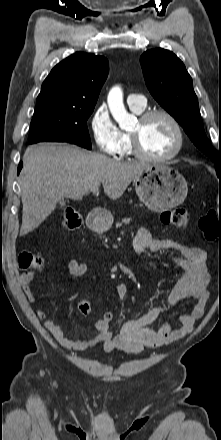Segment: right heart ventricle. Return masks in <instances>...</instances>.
<instances>
[{
  "label": "right heart ventricle",
  "instance_id": "right-heart-ventricle-1",
  "mask_svg": "<svg viewBox=\"0 0 221 440\" xmlns=\"http://www.w3.org/2000/svg\"><path fill=\"white\" fill-rule=\"evenodd\" d=\"M130 108L136 114L142 113V111L144 109V108L138 109V108H135V107H130ZM122 135H123L124 142H123V147H122L119 155H121V156L130 155L132 153V146H131L130 135H129V133H126V132L122 133Z\"/></svg>",
  "mask_w": 221,
  "mask_h": 440
}]
</instances>
